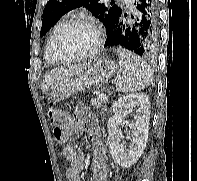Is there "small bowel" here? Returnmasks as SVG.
Listing matches in <instances>:
<instances>
[{
  "label": "small bowel",
  "mask_w": 197,
  "mask_h": 181,
  "mask_svg": "<svg viewBox=\"0 0 197 181\" xmlns=\"http://www.w3.org/2000/svg\"><path fill=\"white\" fill-rule=\"evenodd\" d=\"M73 123L78 130L86 133L88 140L92 143V181H106V152L100 138L97 119L85 105L80 104L74 110ZM62 154L69 163L66 171L68 181H81L80 174L84 168V153L82 150L72 144H67L63 147Z\"/></svg>",
  "instance_id": "obj_1"
}]
</instances>
